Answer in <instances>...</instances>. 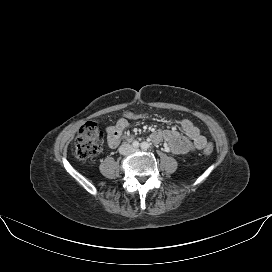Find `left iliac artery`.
<instances>
[{
	"label": "left iliac artery",
	"instance_id": "obj_1",
	"mask_svg": "<svg viewBox=\"0 0 272 272\" xmlns=\"http://www.w3.org/2000/svg\"><path fill=\"white\" fill-rule=\"evenodd\" d=\"M149 147H150V145L147 142H142L141 143V148L143 150H147V149H149Z\"/></svg>",
	"mask_w": 272,
	"mask_h": 272
}]
</instances>
